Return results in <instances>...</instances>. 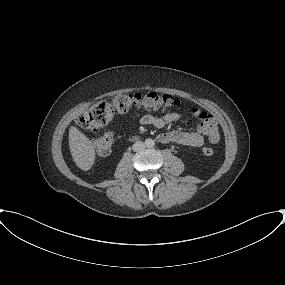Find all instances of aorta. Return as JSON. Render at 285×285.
I'll list each match as a JSON object with an SVG mask.
<instances>
[{
  "label": "aorta",
  "instance_id": "aorta-1",
  "mask_svg": "<svg viewBox=\"0 0 285 285\" xmlns=\"http://www.w3.org/2000/svg\"><path fill=\"white\" fill-rule=\"evenodd\" d=\"M154 141L152 140V139H146L145 140V145H146V147H148V148H151V147H153L154 146Z\"/></svg>",
  "mask_w": 285,
  "mask_h": 285
}]
</instances>
